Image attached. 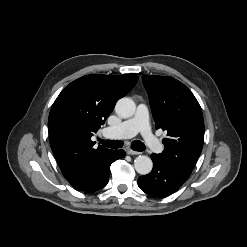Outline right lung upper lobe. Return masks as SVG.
<instances>
[{"instance_id":"cb5924a9","label":"right lung upper lobe","mask_w":247,"mask_h":247,"mask_svg":"<svg viewBox=\"0 0 247 247\" xmlns=\"http://www.w3.org/2000/svg\"><path fill=\"white\" fill-rule=\"evenodd\" d=\"M137 80L136 74L86 75L65 87L52 105L49 141L63 175L73 187L93 178L110 155L111 150L103 146L94 149L91 137Z\"/></svg>"}]
</instances>
